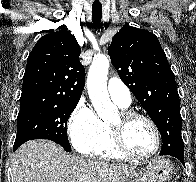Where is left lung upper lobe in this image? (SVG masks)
I'll list each match as a JSON object with an SVG mask.
<instances>
[{
  "label": "left lung upper lobe",
  "mask_w": 196,
  "mask_h": 182,
  "mask_svg": "<svg viewBox=\"0 0 196 182\" xmlns=\"http://www.w3.org/2000/svg\"><path fill=\"white\" fill-rule=\"evenodd\" d=\"M108 54L121 80L131 90L159 129L161 154H183L180 100L174 74L157 37L125 25L117 32Z\"/></svg>",
  "instance_id": "1"
}]
</instances>
